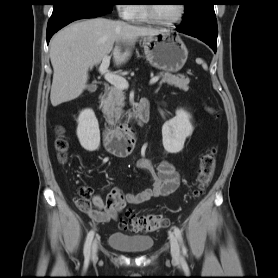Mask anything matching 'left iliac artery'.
<instances>
[{
	"mask_svg": "<svg viewBox=\"0 0 278 278\" xmlns=\"http://www.w3.org/2000/svg\"><path fill=\"white\" fill-rule=\"evenodd\" d=\"M174 233H175V235H176V237H177V239L179 240V242L181 243V245H182V247H183V241H182V232H181V230L178 228V227H175L174 228Z\"/></svg>",
	"mask_w": 278,
	"mask_h": 278,
	"instance_id": "obj_1",
	"label": "left iliac artery"
}]
</instances>
